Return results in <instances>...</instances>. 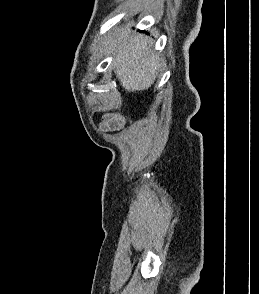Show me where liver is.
I'll return each instance as SVG.
<instances>
[{
	"mask_svg": "<svg viewBox=\"0 0 259 294\" xmlns=\"http://www.w3.org/2000/svg\"><path fill=\"white\" fill-rule=\"evenodd\" d=\"M109 54H114L112 67L120 84L127 90H146L154 83L159 67V57L152 51L147 37L134 36L118 28L109 36Z\"/></svg>",
	"mask_w": 259,
	"mask_h": 294,
	"instance_id": "6515ba94",
	"label": "liver"
}]
</instances>
